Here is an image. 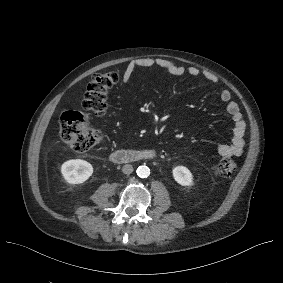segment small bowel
I'll list each match as a JSON object with an SVG mask.
<instances>
[{"mask_svg": "<svg viewBox=\"0 0 283 283\" xmlns=\"http://www.w3.org/2000/svg\"><path fill=\"white\" fill-rule=\"evenodd\" d=\"M159 67L166 70L172 75L181 76L185 73L193 77L202 76L211 83H217L218 78L209 72H201L196 67L185 68L171 60L159 57H144L131 60L123 73V83L127 84L131 76L138 68H153ZM220 100L225 104L226 111L231 116L234 128L232 139L229 143H221L217 147L218 153L223 157H237L242 154L244 147V136L246 124L243 120L238 104L232 99L231 93L228 90H222L219 93Z\"/></svg>", "mask_w": 283, "mask_h": 283, "instance_id": "small-bowel-1", "label": "small bowel"}]
</instances>
